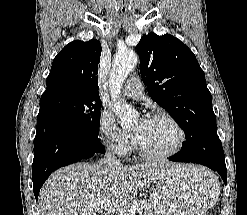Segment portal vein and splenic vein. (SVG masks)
<instances>
[{
  "instance_id": "obj_1",
  "label": "portal vein and splenic vein",
  "mask_w": 247,
  "mask_h": 215,
  "mask_svg": "<svg viewBox=\"0 0 247 215\" xmlns=\"http://www.w3.org/2000/svg\"><path fill=\"white\" fill-rule=\"evenodd\" d=\"M93 208L98 211L104 209L107 212L115 213L119 212V215H135L136 210L138 209V204L134 202L130 208H123L113 203L109 199H101L96 204L93 205Z\"/></svg>"
}]
</instances>
